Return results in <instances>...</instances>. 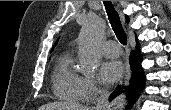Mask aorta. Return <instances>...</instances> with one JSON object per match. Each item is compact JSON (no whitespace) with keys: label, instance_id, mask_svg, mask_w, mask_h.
<instances>
[{"label":"aorta","instance_id":"762f6f07","mask_svg":"<svg viewBox=\"0 0 171 110\" xmlns=\"http://www.w3.org/2000/svg\"><path fill=\"white\" fill-rule=\"evenodd\" d=\"M105 31L104 21L90 16L84 24L78 43L79 70L84 75L95 72L100 61L99 44Z\"/></svg>","mask_w":171,"mask_h":110}]
</instances>
